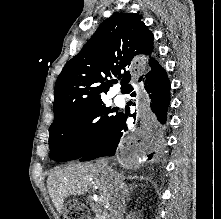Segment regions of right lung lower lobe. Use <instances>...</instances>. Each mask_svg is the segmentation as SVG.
Masks as SVG:
<instances>
[{
	"instance_id": "right-lung-lower-lobe-1",
	"label": "right lung lower lobe",
	"mask_w": 221,
	"mask_h": 219,
	"mask_svg": "<svg viewBox=\"0 0 221 219\" xmlns=\"http://www.w3.org/2000/svg\"><path fill=\"white\" fill-rule=\"evenodd\" d=\"M149 65L151 70L144 72L137 77L136 83L128 85L123 94H128L130 97H137L140 103V115L142 122L146 124L148 130L142 135V143H149L150 151L146 156L147 160H156L160 156V141L161 137L155 130L157 122L164 124L166 122L167 109L170 103V82L166 72L161 66L152 60ZM136 118V114L130 115ZM128 115L118 113L112 127L107 132L105 137L87 154L79 158L80 161H90L101 156H119L123 157L126 143L123 134L127 130L126 119ZM155 134V135H154ZM154 135L152 142L151 137ZM132 145V143H131Z\"/></svg>"
}]
</instances>
